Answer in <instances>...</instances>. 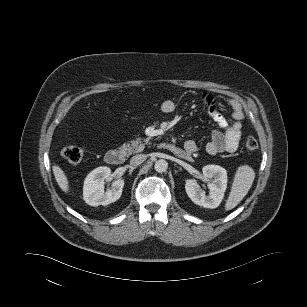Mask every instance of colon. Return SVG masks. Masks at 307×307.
I'll return each mask as SVG.
<instances>
[{
	"label": "colon",
	"instance_id": "obj_1",
	"mask_svg": "<svg viewBox=\"0 0 307 307\" xmlns=\"http://www.w3.org/2000/svg\"><path fill=\"white\" fill-rule=\"evenodd\" d=\"M248 152H254L258 148V141L254 137H248L245 141ZM62 157L71 164L79 163L83 158V150L77 146H66L61 151Z\"/></svg>",
	"mask_w": 307,
	"mask_h": 307
}]
</instances>
